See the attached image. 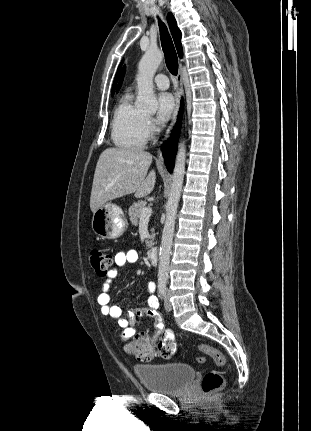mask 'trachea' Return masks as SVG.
<instances>
[{
    "mask_svg": "<svg viewBox=\"0 0 311 431\" xmlns=\"http://www.w3.org/2000/svg\"><path fill=\"white\" fill-rule=\"evenodd\" d=\"M159 28H160L161 45L165 55L166 66L169 72L172 73V75H177L178 57L173 45L172 38L169 35L166 25L163 22H161V20H159Z\"/></svg>",
    "mask_w": 311,
    "mask_h": 431,
    "instance_id": "3493384b",
    "label": "trachea"
}]
</instances>
